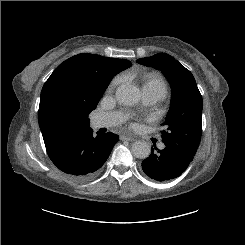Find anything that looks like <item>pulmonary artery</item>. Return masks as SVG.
Instances as JSON below:
<instances>
[{"mask_svg":"<svg viewBox=\"0 0 245 245\" xmlns=\"http://www.w3.org/2000/svg\"><path fill=\"white\" fill-rule=\"evenodd\" d=\"M160 99L161 97L159 95L143 92V101L146 105H153L157 103ZM127 118V114L122 112L102 113L95 118L94 125L98 128H108L125 122ZM160 148H165V145L161 144Z\"/></svg>","mask_w":245,"mask_h":245,"instance_id":"obj_1","label":"pulmonary artery"}]
</instances>
